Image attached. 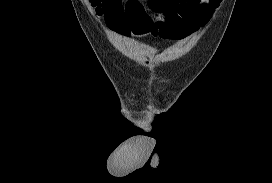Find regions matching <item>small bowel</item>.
Returning <instances> with one entry per match:
<instances>
[{"label":"small bowel","instance_id":"obj_1","mask_svg":"<svg viewBox=\"0 0 272 183\" xmlns=\"http://www.w3.org/2000/svg\"><path fill=\"white\" fill-rule=\"evenodd\" d=\"M220 0H103L98 7L113 31L125 38L148 34L182 39L204 25Z\"/></svg>","mask_w":272,"mask_h":183}]
</instances>
